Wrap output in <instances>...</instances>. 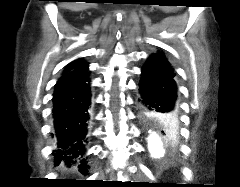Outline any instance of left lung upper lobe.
<instances>
[{
	"mask_svg": "<svg viewBox=\"0 0 240 187\" xmlns=\"http://www.w3.org/2000/svg\"><path fill=\"white\" fill-rule=\"evenodd\" d=\"M152 55L163 60L173 70L171 64L168 62V60L166 59V57L163 53L160 52V53H156V54H152ZM153 125L155 127H157V129L165 136V138H167L170 141L174 140V138L177 136L178 127H175V130H171L159 121H154Z\"/></svg>",
	"mask_w": 240,
	"mask_h": 187,
	"instance_id": "1",
	"label": "left lung upper lobe"
}]
</instances>
